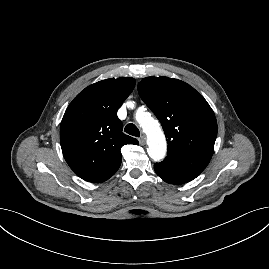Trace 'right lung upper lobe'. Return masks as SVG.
<instances>
[{
    "label": "right lung upper lobe",
    "mask_w": 269,
    "mask_h": 269,
    "mask_svg": "<svg viewBox=\"0 0 269 269\" xmlns=\"http://www.w3.org/2000/svg\"><path fill=\"white\" fill-rule=\"evenodd\" d=\"M135 79L110 78L86 87L70 103L60 126L63 156L80 178L104 182L120 167V149L138 144L125 135L117 110L130 95Z\"/></svg>",
    "instance_id": "1"
}]
</instances>
